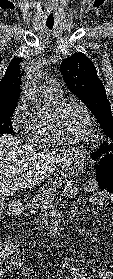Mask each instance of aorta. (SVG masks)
<instances>
[{"label": "aorta", "instance_id": "762f6f07", "mask_svg": "<svg viewBox=\"0 0 113 279\" xmlns=\"http://www.w3.org/2000/svg\"><path fill=\"white\" fill-rule=\"evenodd\" d=\"M38 108H41V105H40V104H38Z\"/></svg>", "mask_w": 113, "mask_h": 279}]
</instances>
